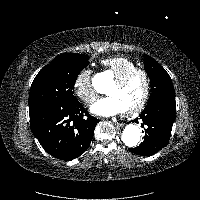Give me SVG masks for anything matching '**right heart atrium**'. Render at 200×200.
Returning a JSON list of instances; mask_svg holds the SVG:
<instances>
[{
	"label": "right heart atrium",
	"instance_id": "right-heart-atrium-1",
	"mask_svg": "<svg viewBox=\"0 0 200 200\" xmlns=\"http://www.w3.org/2000/svg\"><path fill=\"white\" fill-rule=\"evenodd\" d=\"M74 92L87 105H91L97 98V92L92 83V73L89 69L79 71L73 81Z\"/></svg>",
	"mask_w": 200,
	"mask_h": 200
}]
</instances>
